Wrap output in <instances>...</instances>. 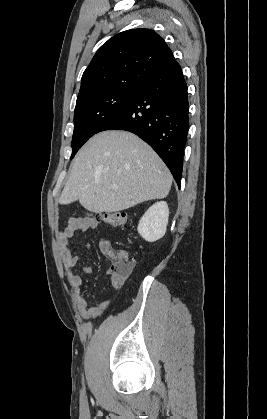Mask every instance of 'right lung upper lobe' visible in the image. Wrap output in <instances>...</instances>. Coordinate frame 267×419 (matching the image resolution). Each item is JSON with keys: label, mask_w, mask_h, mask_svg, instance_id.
<instances>
[{"label": "right lung upper lobe", "mask_w": 267, "mask_h": 419, "mask_svg": "<svg viewBox=\"0 0 267 419\" xmlns=\"http://www.w3.org/2000/svg\"><path fill=\"white\" fill-rule=\"evenodd\" d=\"M175 62L163 38L150 29H131L110 38L83 73L77 102L94 94L140 85Z\"/></svg>", "instance_id": "right-lung-upper-lobe-1"}]
</instances>
